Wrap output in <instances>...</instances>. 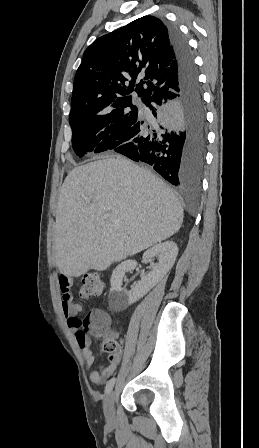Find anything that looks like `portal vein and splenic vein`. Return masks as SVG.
I'll list each match as a JSON object with an SVG mask.
<instances>
[{"instance_id": "1", "label": "portal vein and splenic vein", "mask_w": 259, "mask_h": 448, "mask_svg": "<svg viewBox=\"0 0 259 448\" xmlns=\"http://www.w3.org/2000/svg\"><path fill=\"white\" fill-rule=\"evenodd\" d=\"M111 214H103V218L104 220H108V218H110Z\"/></svg>"}]
</instances>
